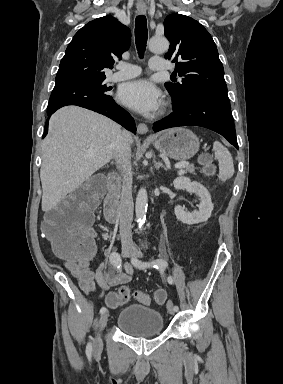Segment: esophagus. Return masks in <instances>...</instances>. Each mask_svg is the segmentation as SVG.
I'll use <instances>...</instances> for the list:
<instances>
[{"label": "esophagus", "instance_id": "esophagus-1", "mask_svg": "<svg viewBox=\"0 0 283 384\" xmlns=\"http://www.w3.org/2000/svg\"><path fill=\"white\" fill-rule=\"evenodd\" d=\"M137 11L139 14H145L146 13V6H137ZM137 132L139 134H146L148 132V127L146 124H139L137 127Z\"/></svg>", "mask_w": 283, "mask_h": 384}]
</instances>
